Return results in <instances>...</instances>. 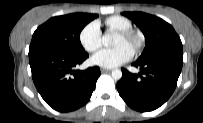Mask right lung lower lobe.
I'll return each mask as SVG.
<instances>
[{"mask_svg": "<svg viewBox=\"0 0 203 123\" xmlns=\"http://www.w3.org/2000/svg\"><path fill=\"white\" fill-rule=\"evenodd\" d=\"M87 57L86 52L69 54L42 47L29 49L34 84L50 107L60 112H69L88 102L100 76V69H74Z\"/></svg>", "mask_w": 203, "mask_h": 123, "instance_id": "1", "label": "right lung lower lobe"}]
</instances>
